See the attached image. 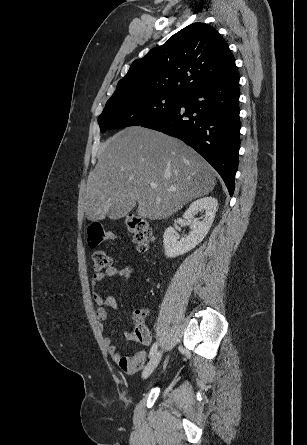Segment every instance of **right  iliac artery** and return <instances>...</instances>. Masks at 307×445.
I'll list each match as a JSON object with an SVG mask.
<instances>
[{"label":"right iliac artery","instance_id":"obj_1","mask_svg":"<svg viewBox=\"0 0 307 445\" xmlns=\"http://www.w3.org/2000/svg\"><path fill=\"white\" fill-rule=\"evenodd\" d=\"M157 347H158L157 343H154V344L152 345V347H151V349H150L149 357H152V356L156 353V351H157Z\"/></svg>","mask_w":307,"mask_h":445}]
</instances>
